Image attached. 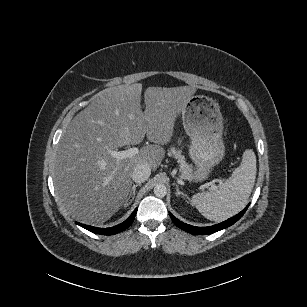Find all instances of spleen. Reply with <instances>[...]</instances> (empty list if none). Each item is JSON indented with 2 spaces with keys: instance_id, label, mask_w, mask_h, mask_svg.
Masks as SVG:
<instances>
[{
  "instance_id": "spleen-1",
  "label": "spleen",
  "mask_w": 307,
  "mask_h": 307,
  "mask_svg": "<svg viewBox=\"0 0 307 307\" xmlns=\"http://www.w3.org/2000/svg\"><path fill=\"white\" fill-rule=\"evenodd\" d=\"M256 156L249 149L243 153L242 162L232 178L220 185L218 190L198 193L192 203L208 219L226 220L242 210L246 205L256 179Z\"/></svg>"
}]
</instances>
